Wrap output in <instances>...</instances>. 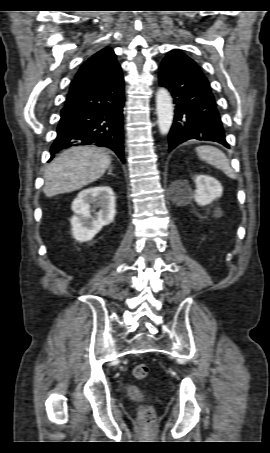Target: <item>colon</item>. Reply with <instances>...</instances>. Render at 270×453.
<instances>
[{"mask_svg":"<svg viewBox=\"0 0 270 453\" xmlns=\"http://www.w3.org/2000/svg\"><path fill=\"white\" fill-rule=\"evenodd\" d=\"M133 374L137 379H145L149 375V368L146 364L140 363L133 368ZM154 410L150 406H144L141 409L140 419L142 422L151 424L154 421Z\"/></svg>","mask_w":270,"mask_h":453,"instance_id":"1","label":"colon"}]
</instances>
